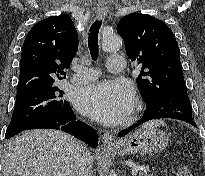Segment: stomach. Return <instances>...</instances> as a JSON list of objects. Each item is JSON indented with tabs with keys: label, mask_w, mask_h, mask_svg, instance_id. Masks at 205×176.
I'll use <instances>...</instances> for the list:
<instances>
[{
	"label": "stomach",
	"mask_w": 205,
	"mask_h": 176,
	"mask_svg": "<svg viewBox=\"0 0 205 176\" xmlns=\"http://www.w3.org/2000/svg\"><path fill=\"white\" fill-rule=\"evenodd\" d=\"M169 136L157 129L156 125L145 124L124 139L119 140L109 150L118 155L157 152L165 149Z\"/></svg>",
	"instance_id": "obj_1"
}]
</instances>
